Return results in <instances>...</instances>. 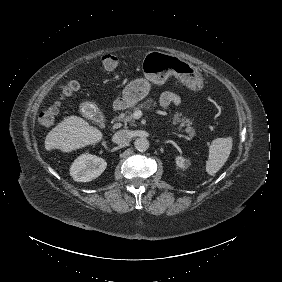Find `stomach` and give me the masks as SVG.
Returning a JSON list of instances; mask_svg holds the SVG:
<instances>
[{"label": "stomach", "mask_w": 282, "mask_h": 282, "mask_svg": "<svg viewBox=\"0 0 282 282\" xmlns=\"http://www.w3.org/2000/svg\"><path fill=\"white\" fill-rule=\"evenodd\" d=\"M142 69L146 79L135 80L123 90V99L129 106L136 104L148 95L149 81L162 83L170 75L176 76L190 88L199 89L202 86L199 71L176 55L159 51L149 52L143 59Z\"/></svg>", "instance_id": "1"}]
</instances>
